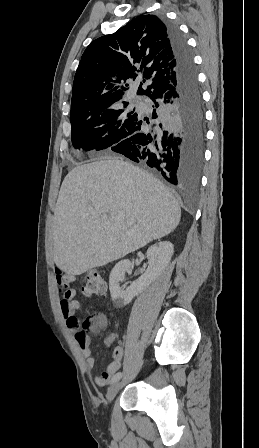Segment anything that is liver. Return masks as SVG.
Returning <instances> with one entry per match:
<instances>
[{"mask_svg": "<svg viewBox=\"0 0 259 448\" xmlns=\"http://www.w3.org/2000/svg\"><path fill=\"white\" fill-rule=\"evenodd\" d=\"M180 218L170 190L123 158L78 166L64 178L54 208V262L68 276H80L164 238Z\"/></svg>", "mask_w": 259, "mask_h": 448, "instance_id": "1", "label": "liver"}]
</instances>
